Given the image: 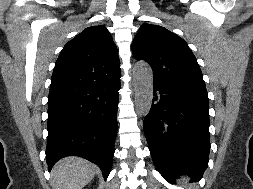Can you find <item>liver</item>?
Here are the masks:
<instances>
[{
    "label": "liver",
    "mask_w": 253,
    "mask_h": 189,
    "mask_svg": "<svg viewBox=\"0 0 253 189\" xmlns=\"http://www.w3.org/2000/svg\"><path fill=\"white\" fill-rule=\"evenodd\" d=\"M95 173L96 166L85 159L64 158L52 170L53 185L61 189H82L94 178Z\"/></svg>",
    "instance_id": "1"
}]
</instances>
